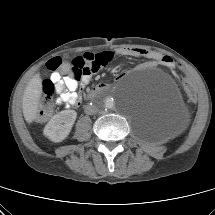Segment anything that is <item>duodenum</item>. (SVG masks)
I'll return each instance as SVG.
<instances>
[{"mask_svg":"<svg viewBox=\"0 0 215 215\" xmlns=\"http://www.w3.org/2000/svg\"><path fill=\"white\" fill-rule=\"evenodd\" d=\"M108 84L106 83H100L98 84L95 88H93V90L90 92L89 94V98H93L94 96L98 95L99 93L105 91L108 89Z\"/></svg>","mask_w":215,"mask_h":215,"instance_id":"410a0bca","label":"duodenum"}]
</instances>
